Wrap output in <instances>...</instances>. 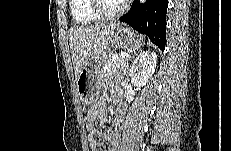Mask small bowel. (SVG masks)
Masks as SVG:
<instances>
[{
	"label": "small bowel",
	"mask_w": 231,
	"mask_h": 151,
	"mask_svg": "<svg viewBox=\"0 0 231 151\" xmlns=\"http://www.w3.org/2000/svg\"><path fill=\"white\" fill-rule=\"evenodd\" d=\"M117 100V114L112 122L111 129L99 130L96 122L106 117V105L104 101L97 102L89 111L86 120V128L88 130V140L91 151H118V145L121 137L122 117L125 106L120 100L118 91L112 89ZM102 138L109 143V147L103 146L96 138Z\"/></svg>",
	"instance_id": "obj_1"
}]
</instances>
